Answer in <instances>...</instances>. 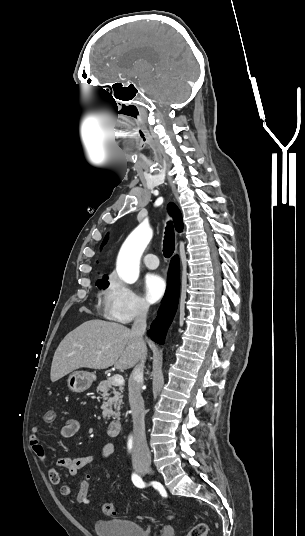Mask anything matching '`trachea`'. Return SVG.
I'll return each instance as SVG.
<instances>
[{
  "label": "trachea",
  "mask_w": 305,
  "mask_h": 536,
  "mask_svg": "<svg viewBox=\"0 0 305 536\" xmlns=\"http://www.w3.org/2000/svg\"><path fill=\"white\" fill-rule=\"evenodd\" d=\"M175 250V233L173 223L169 221L165 229V236L163 240V255L165 258H170Z\"/></svg>",
  "instance_id": "obj_1"
}]
</instances>
